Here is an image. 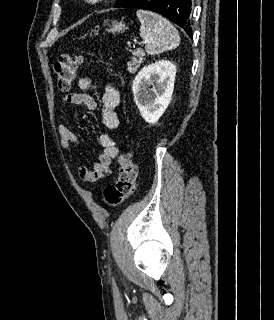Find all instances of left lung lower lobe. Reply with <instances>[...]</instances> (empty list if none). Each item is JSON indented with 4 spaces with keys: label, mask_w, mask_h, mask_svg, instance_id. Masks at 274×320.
Listing matches in <instances>:
<instances>
[{
    "label": "left lung lower lobe",
    "mask_w": 274,
    "mask_h": 320,
    "mask_svg": "<svg viewBox=\"0 0 274 320\" xmlns=\"http://www.w3.org/2000/svg\"><path fill=\"white\" fill-rule=\"evenodd\" d=\"M122 7L157 12L182 27L191 36V0H128Z\"/></svg>",
    "instance_id": "0a47b994"
}]
</instances>
